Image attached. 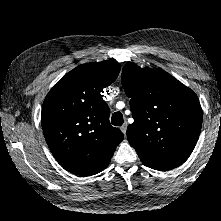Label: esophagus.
Here are the masks:
<instances>
[{
	"instance_id": "34e87169",
	"label": "esophagus",
	"mask_w": 221,
	"mask_h": 221,
	"mask_svg": "<svg viewBox=\"0 0 221 221\" xmlns=\"http://www.w3.org/2000/svg\"><path fill=\"white\" fill-rule=\"evenodd\" d=\"M121 131L123 132V134H126V129H127V123L125 122L121 127H120Z\"/></svg>"
}]
</instances>
